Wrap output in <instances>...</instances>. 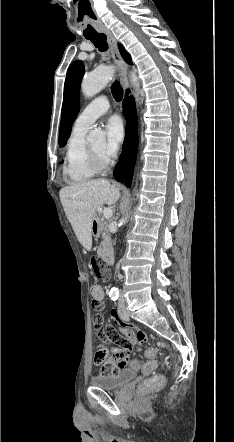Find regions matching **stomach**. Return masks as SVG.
Masks as SVG:
<instances>
[{
    "instance_id": "obj_1",
    "label": "stomach",
    "mask_w": 234,
    "mask_h": 442,
    "mask_svg": "<svg viewBox=\"0 0 234 442\" xmlns=\"http://www.w3.org/2000/svg\"><path fill=\"white\" fill-rule=\"evenodd\" d=\"M94 223H95V221L92 222V226H91V227H92V230H93V225H94Z\"/></svg>"
}]
</instances>
